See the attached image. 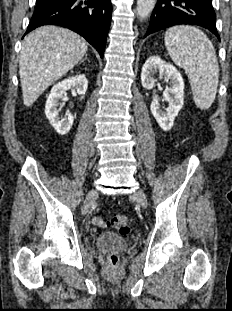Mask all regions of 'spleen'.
Segmentation results:
<instances>
[{
  "label": "spleen",
  "mask_w": 232,
  "mask_h": 311,
  "mask_svg": "<svg viewBox=\"0 0 232 311\" xmlns=\"http://www.w3.org/2000/svg\"><path fill=\"white\" fill-rule=\"evenodd\" d=\"M164 41L173 62L188 75L196 106L208 109L219 82L218 60L211 41L200 29L188 25L169 28Z\"/></svg>",
  "instance_id": "3e777b00"
}]
</instances>
